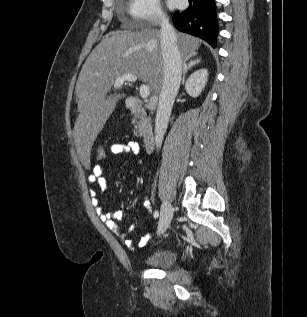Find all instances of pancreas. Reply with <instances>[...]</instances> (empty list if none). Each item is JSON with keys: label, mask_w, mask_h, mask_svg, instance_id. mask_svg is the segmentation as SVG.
<instances>
[{"label": "pancreas", "mask_w": 307, "mask_h": 317, "mask_svg": "<svg viewBox=\"0 0 307 317\" xmlns=\"http://www.w3.org/2000/svg\"><path fill=\"white\" fill-rule=\"evenodd\" d=\"M135 118L137 121L134 125V135L139 136V134L144 133L145 128H149L151 126V120L150 117H148L144 112L141 114H137Z\"/></svg>", "instance_id": "1"}]
</instances>
